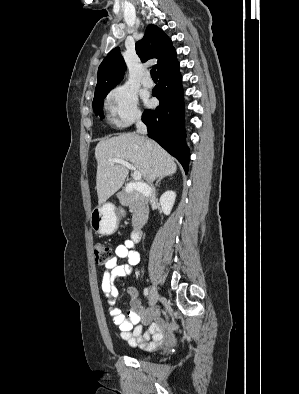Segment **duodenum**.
Returning a JSON list of instances; mask_svg holds the SVG:
<instances>
[{
	"label": "duodenum",
	"instance_id": "1",
	"mask_svg": "<svg viewBox=\"0 0 299 394\" xmlns=\"http://www.w3.org/2000/svg\"><path fill=\"white\" fill-rule=\"evenodd\" d=\"M131 190L133 191H137L138 193H140L143 197H150L151 196V189L148 185L144 184V183H134L131 185L130 187ZM142 230H143V225H139L137 226L131 235V238L133 240V242H139L141 239V234H142Z\"/></svg>",
	"mask_w": 299,
	"mask_h": 394
}]
</instances>
